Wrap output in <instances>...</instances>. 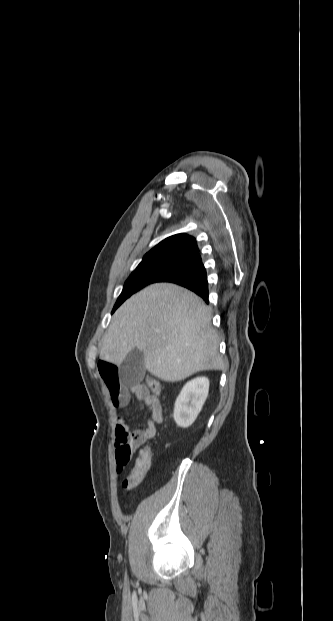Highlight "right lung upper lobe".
<instances>
[{
    "mask_svg": "<svg viewBox=\"0 0 333 621\" xmlns=\"http://www.w3.org/2000/svg\"><path fill=\"white\" fill-rule=\"evenodd\" d=\"M199 252L195 238L187 234L172 235L152 248L143 257L142 262L164 258H180L187 260Z\"/></svg>",
    "mask_w": 333,
    "mask_h": 621,
    "instance_id": "right-lung-upper-lobe-1",
    "label": "right lung upper lobe"
}]
</instances>
